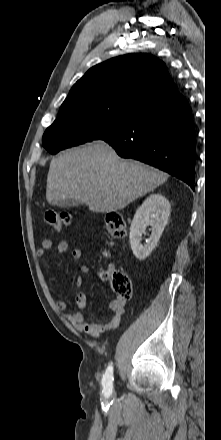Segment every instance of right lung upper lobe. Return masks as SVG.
<instances>
[{"mask_svg": "<svg viewBox=\"0 0 221 440\" xmlns=\"http://www.w3.org/2000/svg\"><path fill=\"white\" fill-rule=\"evenodd\" d=\"M175 91L177 87L161 60L144 53L128 54L89 69L61 106L78 101H109L136 110Z\"/></svg>", "mask_w": 221, "mask_h": 440, "instance_id": "1", "label": "right lung upper lobe"}]
</instances>
